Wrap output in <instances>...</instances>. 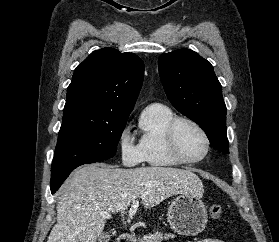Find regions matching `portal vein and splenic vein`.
Here are the masks:
<instances>
[{"label": "portal vein and splenic vein", "mask_w": 279, "mask_h": 242, "mask_svg": "<svg viewBox=\"0 0 279 242\" xmlns=\"http://www.w3.org/2000/svg\"><path fill=\"white\" fill-rule=\"evenodd\" d=\"M138 206H139V201H138V199H136L135 201H133V203H132V205H131V207H130V209H129V211H128L129 216H132V215L135 214V212H136L137 209H138ZM103 216H104L105 218H107V219L112 218V215L109 214V213H104Z\"/></svg>", "instance_id": "18ae733b"}]
</instances>
